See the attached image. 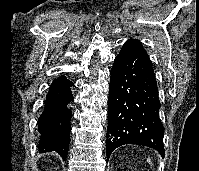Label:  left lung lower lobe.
<instances>
[{"label":"left lung lower lobe","mask_w":199,"mask_h":171,"mask_svg":"<svg viewBox=\"0 0 199 171\" xmlns=\"http://www.w3.org/2000/svg\"><path fill=\"white\" fill-rule=\"evenodd\" d=\"M152 62L143 46L127 40L110 77L106 154L119 146H148L164 156V127Z\"/></svg>","instance_id":"1"}]
</instances>
